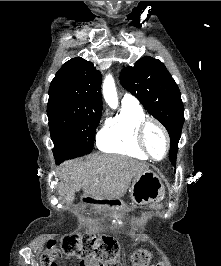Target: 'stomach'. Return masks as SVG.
<instances>
[{
	"mask_svg": "<svg viewBox=\"0 0 221 266\" xmlns=\"http://www.w3.org/2000/svg\"><path fill=\"white\" fill-rule=\"evenodd\" d=\"M129 193L135 204H156L163 200L165 187L154 171L147 170L133 179Z\"/></svg>",
	"mask_w": 221,
	"mask_h": 266,
	"instance_id": "0dacf381",
	"label": "stomach"
}]
</instances>
